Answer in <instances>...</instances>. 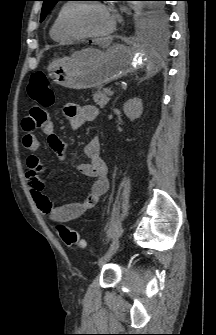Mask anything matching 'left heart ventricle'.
<instances>
[{
    "instance_id": "1",
    "label": "left heart ventricle",
    "mask_w": 216,
    "mask_h": 335,
    "mask_svg": "<svg viewBox=\"0 0 216 335\" xmlns=\"http://www.w3.org/2000/svg\"><path fill=\"white\" fill-rule=\"evenodd\" d=\"M78 23L87 32L102 33L110 28L112 19L104 8L87 5L78 13Z\"/></svg>"
}]
</instances>
